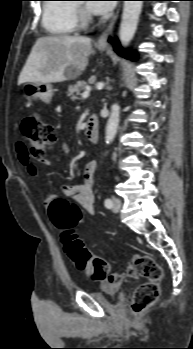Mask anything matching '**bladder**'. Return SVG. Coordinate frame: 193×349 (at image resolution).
<instances>
[{
  "label": "bladder",
  "mask_w": 193,
  "mask_h": 349,
  "mask_svg": "<svg viewBox=\"0 0 193 349\" xmlns=\"http://www.w3.org/2000/svg\"><path fill=\"white\" fill-rule=\"evenodd\" d=\"M90 295L99 303L109 302L111 298L118 300L119 296L116 293L111 295L107 294L105 291H90Z\"/></svg>",
  "instance_id": "31cf9c89"
}]
</instances>
